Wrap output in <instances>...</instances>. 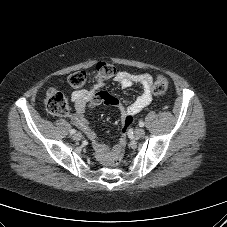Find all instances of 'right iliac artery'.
Listing matches in <instances>:
<instances>
[{
    "mask_svg": "<svg viewBox=\"0 0 227 227\" xmlns=\"http://www.w3.org/2000/svg\"><path fill=\"white\" fill-rule=\"evenodd\" d=\"M75 132H76L75 129H71V130H70V134H71V135H72V134H75Z\"/></svg>",
    "mask_w": 227,
    "mask_h": 227,
    "instance_id": "1",
    "label": "right iliac artery"
}]
</instances>
